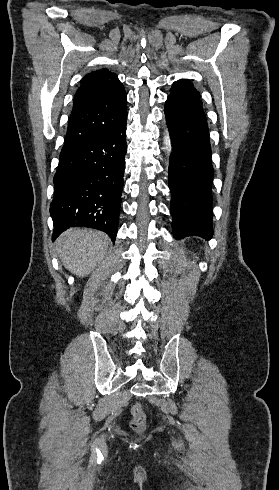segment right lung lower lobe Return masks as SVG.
<instances>
[{
	"label": "right lung lower lobe",
	"mask_w": 279,
	"mask_h": 490,
	"mask_svg": "<svg viewBox=\"0 0 279 490\" xmlns=\"http://www.w3.org/2000/svg\"><path fill=\"white\" fill-rule=\"evenodd\" d=\"M126 121L114 130L62 149L50 215L54 241L70 227L106 232L115 242L125 168Z\"/></svg>",
	"instance_id": "1"
}]
</instances>
